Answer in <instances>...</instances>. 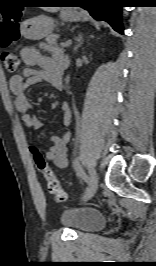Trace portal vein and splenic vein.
<instances>
[{
    "label": "portal vein and splenic vein",
    "instance_id": "18ae733b",
    "mask_svg": "<svg viewBox=\"0 0 156 266\" xmlns=\"http://www.w3.org/2000/svg\"><path fill=\"white\" fill-rule=\"evenodd\" d=\"M71 45V40L66 41L65 43H62V47H69Z\"/></svg>",
    "mask_w": 156,
    "mask_h": 266
}]
</instances>
